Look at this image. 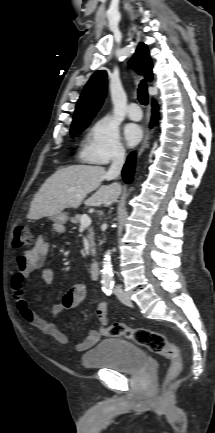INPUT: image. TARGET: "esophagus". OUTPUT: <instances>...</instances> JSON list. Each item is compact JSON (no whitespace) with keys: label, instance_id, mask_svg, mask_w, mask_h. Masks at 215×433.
Here are the masks:
<instances>
[{"label":"esophagus","instance_id":"34e87169","mask_svg":"<svg viewBox=\"0 0 215 433\" xmlns=\"http://www.w3.org/2000/svg\"><path fill=\"white\" fill-rule=\"evenodd\" d=\"M150 136H151V132H149V133L146 134L142 145L140 146V148L137 151V155L138 156H140L143 153V151L145 150V148H146V146H147V144L149 142Z\"/></svg>","mask_w":215,"mask_h":433}]
</instances>
